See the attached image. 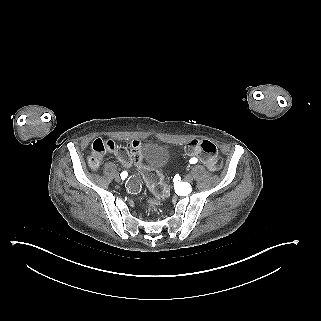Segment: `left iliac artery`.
Returning <instances> with one entry per match:
<instances>
[{
	"label": "left iliac artery",
	"instance_id": "obj_1",
	"mask_svg": "<svg viewBox=\"0 0 321 321\" xmlns=\"http://www.w3.org/2000/svg\"><path fill=\"white\" fill-rule=\"evenodd\" d=\"M196 162H197V159H195V158L190 159L191 164H195Z\"/></svg>",
	"mask_w": 321,
	"mask_h": 321
}]
</instances>
